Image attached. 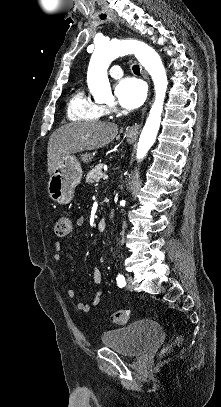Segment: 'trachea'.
Here are the masks:
<instances>
[{
    "mask_svg": "<svg viewBox=\"0 0 221 407\" xmlns=\"http://www.w3.org/2000/svg\"><path fill=\"white\" fill-rule=\"evenodd\" d=\"M100 18H101V19H106V15H105V14H102V15H100ZM132 69H133V72H134L135 74H139V73H140V68H139L138 65H134Z\"/></svg>",
    "mask_w": 221,
    "mask_h": 407,
    "instance_id": "obj_1",
    "label": "trachea"
}]
</instances>
